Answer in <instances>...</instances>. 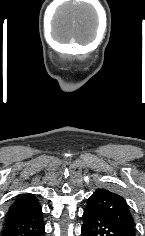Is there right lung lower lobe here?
<instances>
[{"label": "right lung lower lobe", "instance_id": "1", "mask_svg": "<svg viewBox=\"0 0 145 236\" xmlns=\"http://www.w3.org/2000/svg\"><path fill=\"white\" fill-rule=\"evenodd\" d=\"M42 208L21 212L6 219L2 236H43Z\"/></svg>", "mask_w": 145, "mask_h": 236}]
</instances>
